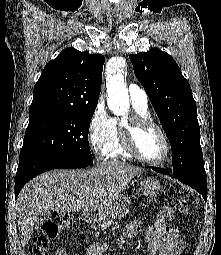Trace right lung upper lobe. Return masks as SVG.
I'll use <instances>...</instances> for the list:
<instances>
[{"mask_svg":"<svg viewBox=\"0 0 221 255\" xmlns=\"http://www.w3.org/2000/svg\"><path fill=\"white\" fill-rule=\"evenodd\" d=\"M103 55L64 49L48 62L33 90L29 113L43 110H93L101 91Z\"/></svg>","mask_w":221,"mask_h":255,"instance_id":"cb5924a9","label":"right lung upper lobe"}]
</instances>
